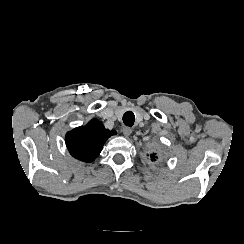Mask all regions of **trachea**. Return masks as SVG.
Instances as JSON below:
<instances>
[{
  "instance_id": "1",
  "label": "trachea",
  "mask_w": 244,
  "mask_h": 244,
  "mask_svg": "<svg viewBox=\"0 0 244 244\" xmlns=\"http://www.w3.org/2000/svg\"><path fill=\"white\" fill-rule=\"evenodd\" d=\"M123 122L126 126H133L135 122V115L133 114V112L127 111L126 113H124Z\"/></svg>"
}]
</instances>
